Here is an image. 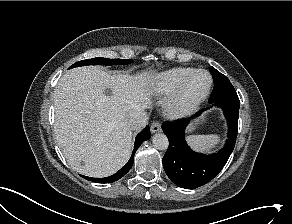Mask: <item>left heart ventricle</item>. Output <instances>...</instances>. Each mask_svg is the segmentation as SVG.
I'll return each mask as SVG.
<instances>
[{"label":"left heart ventricle","instance_id":"obj_1","mask_svg":"<svg viewBox=\"0 0 292 224\" xmlns=\"http://www.w3.org/2000/svg\"><path fill=\"white\" fill-rule=\"evenodd\" d=\"M209 82L210 79L206 73L195 75L187 86L185 92L186 98L190 100L203 94L206 91Z\"/></svg>","mask_w":292,"mask_h":224}]
</instances>
